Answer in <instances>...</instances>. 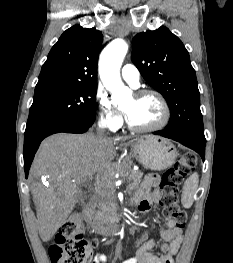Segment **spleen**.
I'll return each instance as SVG.
<instances>
[{
	"mask_svg": "<svg viewBox=\"0 0 233 263\" xmlns=\"http://www.w3.org/2000/svg\"><path fill=\"white\" fill-rule=\"evenodd\" d=\"M199 176L192 174L184 183L181 202L184 208H190L194 202V194L198 188Z\"/></svg>",
	"mask_w": 233,
	"mask_h": 263,
	"instance_id": "1",
	"label": "spleen"
}]
</instances>
